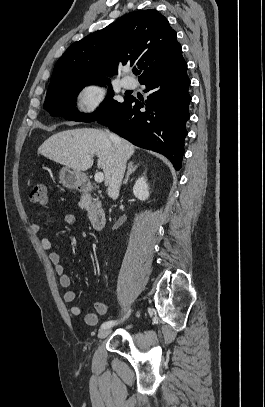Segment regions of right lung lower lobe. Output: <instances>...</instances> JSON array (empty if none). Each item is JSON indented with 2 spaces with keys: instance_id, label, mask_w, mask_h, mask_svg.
Listing matches in <instances>:
<instances>
[{
  "instance_id": "obj_1",
  "label": "right lung lower lobe",
  "mask_w": 265,
  "mask_h": 407,
  "mask_svg": "<svg viewBox=\"0 0 265 407\" xmlns=\"http://www.w3.org/2000/svg\"><path fill=\"white\" fill-rule=\"evenodd\" d=\"M186 69L181 52L139 81L150 92L146 101L127 97L98 122L139 147L163 154L180 170L191 101Z\"/></svg>"
}]
</instances>
